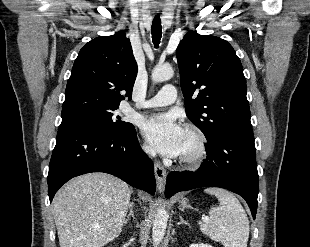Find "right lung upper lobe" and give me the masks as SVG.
Listing matches in <instances>:
<instances>
[{
	"mask_svg": "<svg viewBox=\"0 0 310 247\" xmlns=\"http://www.w3.org/2000/svg\"><path fill=\"white\" fill-rule=\"evenodd\" d=\"M137 75V63L124 32L97 37L80 50L67 82L62 110L76 106L119 108L131 97Z\"/></svg>",
	"mask_w": 310,
	"mask_h": 247,
	"instance_id": "1",
	"label": "right lung upper lobe"
}]
</instances>
